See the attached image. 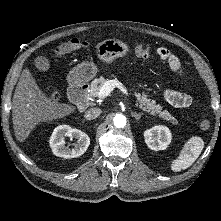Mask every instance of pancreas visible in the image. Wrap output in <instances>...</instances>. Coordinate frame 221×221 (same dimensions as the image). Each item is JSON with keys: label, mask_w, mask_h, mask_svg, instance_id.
<instances>
[{"label": "pancreas", "mask_w": 221, "mask_h": 221, "mask_svg": "<svg viewBox=\"0 0 221 221\" xmlns=\"http://www.w3.org/2000/svg\"><path fill=\"white\" fill-rule=\"evenodd\" d=\"M106 81H108V79L102 76L99 77L98 79H94L90 85V92H89L90 97L92 98L97 97L101 86ZM134 95L137 99L139 107L143 109L145 112L153 116H158L159 118H162L163 120L168 121L173 125L178 124V121L175 117H173L168 111L162 110L163 107L161 105L156 104L155 100L149 99L146 93L143 92L142 94H140L135 92Z\"/></svg>", "instance_id": "1"}]
</instances>
